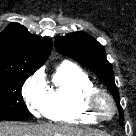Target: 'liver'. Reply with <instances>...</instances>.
<instances>
[{"label":"liver","instance_id":"6515ba94","mask_svg":"<svg viewBox=\"0 0 136 136\" xmlns=\"http://www.w3.org/2000/svg\"><path fill=\"white\" fill-rule=\"evenodd\" d=\"M0 136H106L94 129H79L69 126L38 124L18 125L12 122L0 123Z\"/></svg>","mask_w":136,"mask_h":136}]
</instances>
